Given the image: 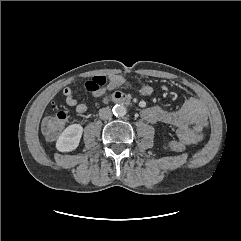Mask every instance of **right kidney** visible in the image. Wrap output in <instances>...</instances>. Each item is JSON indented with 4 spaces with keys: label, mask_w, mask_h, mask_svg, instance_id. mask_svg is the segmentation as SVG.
<instances>
[{
    "label": "right kidney",
    "mask_w": 241,
    "mask_h": 241,
    "mask_svg": "<svg viewBox=\"0 0 241 241\" xmlns=\"http://www.w3.org/2000/svg\"><path fill=\"white\" fill-rule=\"evenodd\" d=\"M83 133V127L79 124L69 125L59 136L56 142L57 150L61 152H70L75 150Z\"/></svg>",
    "instance_id": "1"
}]
</instances>
